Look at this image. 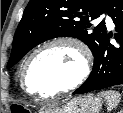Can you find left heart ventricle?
Segmentation results:
<instances>
[{
	"label": "left heart ventricle",
	"instance_id": "obj_1",
	"mask_svg": "<svg viewBox=\"0 0 123 113\" xmlns=\"http://www.w3.org/2000/svg\"><path fill=\"white\" fill-rule=\"evenodd\" d=\"M80 68L81 58L73 47L65 44L49 47L30 63L27 86L36 94L51 93L73 81Z\"/></svg>",
	"mask_w": 123,
	"mask_h": 113
}]
</instances>
